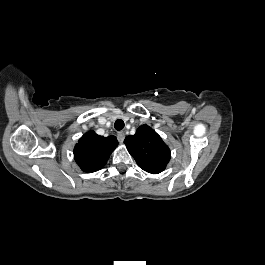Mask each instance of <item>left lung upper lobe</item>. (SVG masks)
<instances>
[{
	"label": "left lung upper lobe",
	"instance_id": "5c2ea615",
	"mask_svg": "<svg viewBox=\"0 0 265 265\" xmlns=\"http://www.w3.org/2000/svg\"><path fill=\"white\" fill-rule=\"evenodd\" d=\"M124 143L136 163L148 173L162 172L170 160V149L148 125L140 126Z\"/></svg>",
	"mask_w": 265,
	"mask_h": 265
}]
</instances>
